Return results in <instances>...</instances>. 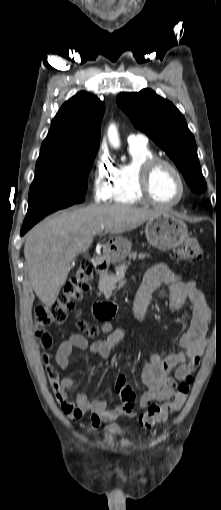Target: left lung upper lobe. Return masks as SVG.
Segmentation results:
<instances>
[{
	"mask_svg": "<svg viewBox=\"0 0 221 510\" xmlns=\"http://www.w3.org/2000/svg\"><path fill=\"white\" fill-rule=\"evenodd\" d=\"M116 102L134 126L174 161L189 187L196 193L204 192L207 184L200 169L195 139L180 111L150 89L120 93Z\"/></svg>",
	"mask_w": 221,
	"mask_h": 510,
	"instance_id": "1",
	"label": "left lung upper lobe"
}]
</instances>
